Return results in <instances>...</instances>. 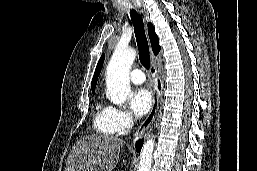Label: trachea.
Masks as SVG:
<instances>
[{"label":"trachea","instance_id":"trachea-1","mask_svg":"<svg viewBox=\"0 0 257 171\" xmlns=\"http://www.w3.org/2000/svg\"><path fill=\"white\" fill-rule=\"evenodd\" d=\"M130 15L134 26L135 37H136V41L139 49L140 62L144 68L149 69L150 54H149L148 41L144 30L143 20L135 10H131Z\"/></svg>","mask_w":257,"mask_h":171}]
</instances>
